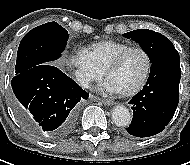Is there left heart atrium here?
<instances>
[{
	"instance_id": "39dd6f15",
	"label": "left heart atrium",
	"mask_w": 190,
	"mask_h": 165,
	"mask_svg": "<svg viewBox=\"0 0 190 165\" xmlns=\"http://www.w3.org/2000/svg\"><path fill=\"white\" fill-rule=\"evenodd\" d=\"M104 88L109 92H118L108 81L105 83Z\"/></svg>"
}]
</instances>
